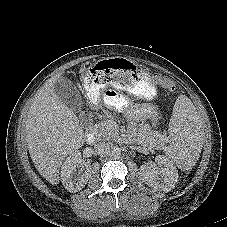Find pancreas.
Returning a JSON list of instances; mask_svg holds the SVG:
<instances>
[{
	"label": "pancreas",
	"mask_w": 227,
	"mask_h": 227,
	"mask_svg": "<svg viewBox=\"0 0 227 227\" xmlns=\"http://www.w3.org/2000/svg\"><path fill=\"white\" fill-rule=\"evenodd\" d=\"M94 133L99 139L110 140L117 134V130L112 128L109 121H102L95 125Z\"/></svg>",
	"instance_id": "1"
}]
</instances>
